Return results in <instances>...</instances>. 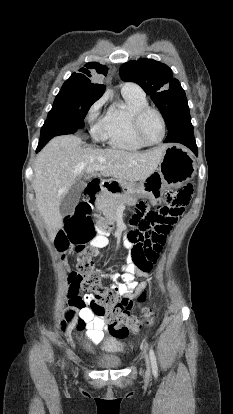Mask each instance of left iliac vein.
Listing matches in <instances>:
<instances>
[{
  "instance_id": "left-iliac-vein-1",
  "label": "left iliac vein",
  "mask_w": 233,
  "mask_h": 414,
  "mask_svg": "<svg viewBox=\"0 0 233 414\" xmlns=\"http://www.w3.org/2000/svg\"><path fill=\"white\" fill-rule=\"evenodd\" d=\"M146 366H147V372L150 373V361L148 356H146Z\"/></svg>"
}]
</instances>
